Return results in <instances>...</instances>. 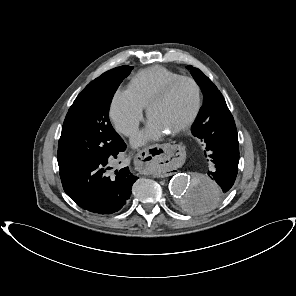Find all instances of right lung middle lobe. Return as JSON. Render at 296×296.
<instances>
[{"label":"right lung middle lobe","instance_id":"1","mask_svg":"<svg viewBox=\"0 0 296 296\" xmlns=\"http://www.w3.org/2000/svg\"><path fill=\"white\" fill-rule=\"evenodd\" d=\"M133 67L111 69L89 83L77 96L63 123L58 144L60 170L118 154L124 141L109 120L113 94Z\"/></svg>","mask_w":296,"mask_h":296}]
</instances>
